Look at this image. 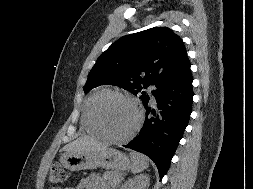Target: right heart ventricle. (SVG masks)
<instances>
[{"label": "right heart ventricle", "instance_id": "e07e8e85", "mask_svg": "<svg viewBox=\"0 0 253 189\" xmlns=\"http://www.w3.org/2000/svg\"><path fill=\"white\" fill-rule=\"evenodd\" d=\"M108 92L107 89H101L98 90L97 92H95L94 94H92L84 103L83 108H82V126L85 129V131L87 133H89L90 135H94V136H102V134L100 133V131L97 129V127L95 126L93 120H92V115H91V108L93 105V102L95 101V99L105 93Z\"/></svg>", "mask_w": 253, "mask_h": 189}]
</instances>
